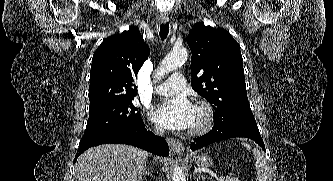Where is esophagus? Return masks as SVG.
<instances>
[{
    "mask_svg": "<svg viewBox=\"0 0 333 181\" xmlns=\"http://www.w3.org/2000/svg\"><path fill=\"white\" fill-rule=\"evenodd\" d=\"M161 21H162L163 24H165L169 21V18L168 17H162ZM166 140H167V143L169 144V146L172 148L173 151H175L177 153H182L184 151V145L178 139L167 138Z\"/></svg>",
    "mask_w": 333,
    "mask_h": 181,
    "instance_id": "1",
    "label": "esophagus"
}]
</instances>
